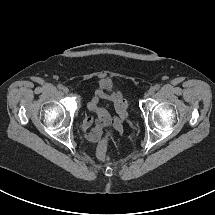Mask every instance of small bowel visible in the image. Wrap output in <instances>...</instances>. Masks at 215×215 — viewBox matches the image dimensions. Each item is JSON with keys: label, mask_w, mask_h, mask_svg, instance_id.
I'll return each instance as SVG.
<instances>
[{"label": "small bowel", "mask_w": 215, "mask_h": 215, "mask_svg": "<svg viewBox=\"0 0 215 215\" xmlns=\"http://www.w3.org/2000/svg\"><path fill=\"white\" fill-rule=\"evenodd\" d=\"M109 103L114 104L121 119L125 118L127 103L120 93L106 94L102 90L97 91L87 105L96 117H87L82 126L88 141L97 142L101 138V128L109 120V113L105 106Z\"/></svg>", "instance_id": "small-bowel-1"}]
</instances>
